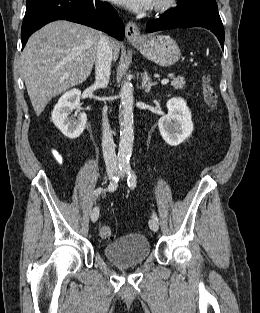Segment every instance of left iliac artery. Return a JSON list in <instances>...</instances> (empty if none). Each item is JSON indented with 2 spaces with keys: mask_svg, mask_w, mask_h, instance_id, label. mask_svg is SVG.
Returning <instances> with one entry per match:
<instances>
[{
  "mask_svg": "<svg viewBox=\"0 0 260 313\" xmlns=\"http://www.w3.org/2000/svg\"><path fill=\"white\" fill-rule=\"evenodd\" d=\"M124 171L127 173L128 175V178H127V183H128V186L131 188V189H134L136 187V183H137V177H136V174L135 172L132 170L130 164H125L124 165ZM152 218L158 222V216L156 215L155 212H153L152 214Z\"/></svg>",
  "mask_w": 260,
  "mask_h": 313,
  "instance_id": "1",
  "label": "left iliac artery"
}]
</instances>
